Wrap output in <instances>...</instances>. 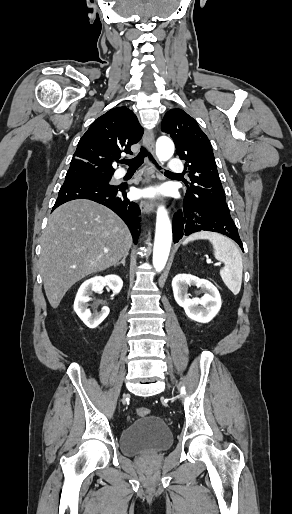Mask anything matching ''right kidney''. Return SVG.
<instances>
[{
    "instance_id": "ca27d5eb",
    "label": "right kidney",
    "mask_w": 292,
    "mask_h": 514,
    "mask_svg": "<svg viewBox=\"0 0 292 514\" xmlns=\"http://www.w3.org/2000/svg\"><path fill=\"white\" fill-rule=\"evenodd\" d=\"M104 286H109L110 290L118 294L123 286V282L119 276H105V278L95 276V278H90V280L83 282L77 292L74 310L88 328H97L109 314V308H106V306L101 308V312H94V314H91L90 310H88L87 302L92 300L89 296H91L92 292H101Z\"/></svg>"
}]
</instances>
